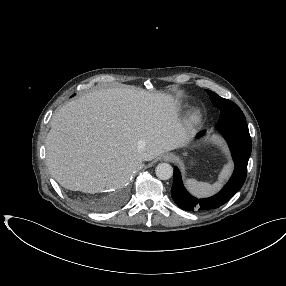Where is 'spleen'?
<instances>
[{"label": "spleen", "mask_w": 286, "mask_h": 286, "mask_svg": "<svg viewBox=\"0 0 286 286\" xmlns=\"http://www.w3.org/2000/svg\"><path fill=\"white\" fill-rule=\"evenodd\" d=\"M232 171V164L228 163L224 166L221 173L219 174L218 181L214 184H209L206 182H198L194 179H187V188L196 196L204 197L213 194L215 191L219 190L222 183L229 177Z\"/></svg>", "instance_id": "spleen-1"}]
</instances>
